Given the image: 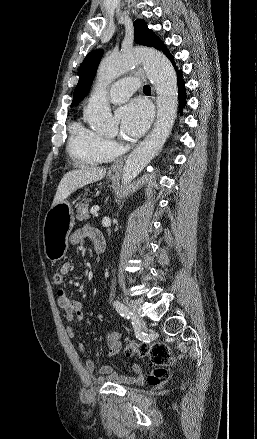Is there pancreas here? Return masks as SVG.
I'll list each match as a JSON object with an SVG mask.
<instances>
[{
    "mask_svg": "<svg viewBox=\"0 0 257 439\" xmlns=\"http://www.w3.org/2000/svg\"><path fill=\"white\" fill-rule=\"evenodd\" d=\"M88 205V201L78 204L76 210V219L78 221H83L89 218Z\"/></svg>",
    "mask_w": 257,
    "mask_h": 439,
    "instance_id": "obj_1",
    "label": "pancreas"
}]
</instances>
